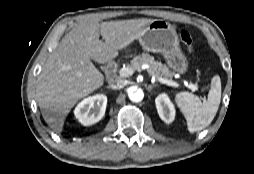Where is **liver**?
I'll list each match as a JSON object with an SVG mask.
<instances>
[{
	"label": "liver",
	"instance_id": "liver-1",
	"mask_svg": "<svg viewBox=\"0 0 254 174\" xmlns=\"http://www.w3.org/2000/svg\"><path fill=\"white\" fill-rule=\"evenodd\" d=\"M153 19L82 23L66 34L44 64L36 96L45 122L61 132L73 106L104 84L91 60L106 63L139 39ZM100 35L104 42L99 40Z\"/></svg>",
	"mask_w": 254,
	"mask_h": 174
}]
</instances>
